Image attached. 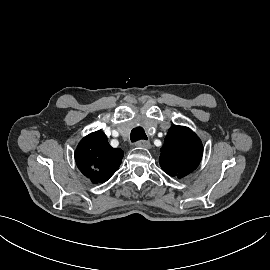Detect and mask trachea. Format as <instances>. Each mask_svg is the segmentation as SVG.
I'll use <instances>...</instances> for the list:
<instances>
[{"instance_id":"3493384b","label":"trachea","mask_w":270,"mask_h":270,"mask_svg":"<svg viewBox=\"0 0 270 270\" xmlns=\"http://www.w3.org/2000/svg\"><path fill=\"white\" fill-rule=\"evenodd\" d=\"M130 139L131 142H136L138 140H147V136L142 127H136L132 129Z\"/></svg>"}]
</instances>
